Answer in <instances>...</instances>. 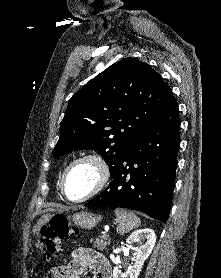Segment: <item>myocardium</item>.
<instances>
[{"instance_id":"f54148a6","label":"myocardium","mask_w":221,"mask_h":278,"mask_svg":"<svg viewBox=\"0 0 221 278\" xmlns=\"http://www.w3.org/2000/svg\"><path fill=\"white\" fill-rule=\"evenodd\" d=\"M85 162L91 163L96 167V169H97L96 183L94 184L93 188L86 195H84L83 197L78 198V199H72L67 195L66 190H65L67 175L74 166H76L77 164H80V163H85ZM110 177H111L110 167L102 157H100L96 154H91V153L83 154V155H80V156L74 158L65 167V169L62 173L61 183H60L61 192L68 201L73 202V203H82V202H85V201L89 200L90 198L96 196L99 192H101L107 186V184L110 180Z\"/></svg>"}]
</instances>
